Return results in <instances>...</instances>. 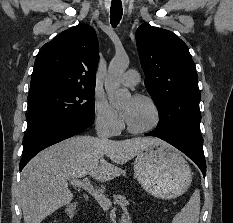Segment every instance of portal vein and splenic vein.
<instances>
[{"label":"portal vein and splenic vein","mask_w":233,"mask_h":223,"mask_svg":"<svg viewBox=\"0 0 233 223\" xmlns=\"http://www.w3.org/2000/svg\"><path fill=\"white\" fill-rule=\"evenodd\" d=\"M71 185H76V187H83V189H89V193L93 195L94 199L104 207V205H112V203H117L111 201L107 195H104L103 191H97L94 189V185H92L89 177H83V179H78V177H73L70 179ZM119 206H128V201H119Z\"/></svg>","instance_id":"obj_1"}]
</instances>
